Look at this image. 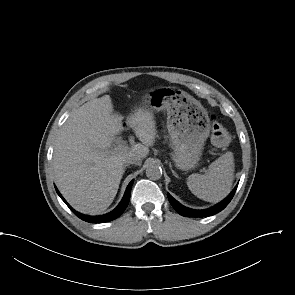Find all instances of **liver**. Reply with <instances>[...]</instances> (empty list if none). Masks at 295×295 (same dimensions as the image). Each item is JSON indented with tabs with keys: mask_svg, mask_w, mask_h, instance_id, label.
Returning a JSON list of instances; mask_svg holds the SVG:
<instances>
[{
	"mask_svg": "<svg viewBox=\"0 0 295 295\" xmlns=\"http://www.w3.org/2000/svg\"><path fill=\"white\" fill-rule=\"evenodd\" d=\"M123 120L105 95L74 110L61 127L53 152L54 178L67 202L81 213L105 211L117 194L125 157L134 153L145 158L155 141L154 117L139 108L127 123L142 144L130 152L109 153L113 139L124 129Z\"/></svg>",
	"mask_w": 295,
	"mask_h": 295,
	"instance_id": "1",
	"label": "liver"
}]
</instances>
